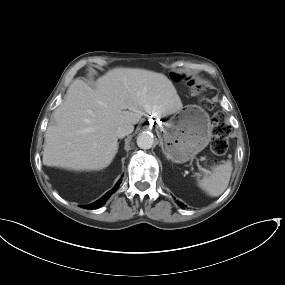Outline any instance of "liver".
<instances>
[{
  "label": "liver",
  "mask_w": 285,
  "mask_h": 285,
  "mask_svg": "<svg viewBox=\"0 0 285 285\" xmlns=\"http://www.w3.org/2000/svg\"><path fill=\"white\" fill-rule=\"evenodd\" d=\"M183 108L172 82L161 73L115 68L92 89L75 80L54 111L45 133L43 164L76 171L101 170L118 150L116 129L135 125L145 114L163 116Z\"/></svg>",
  "instance_id": "1"
}]
</instances>
